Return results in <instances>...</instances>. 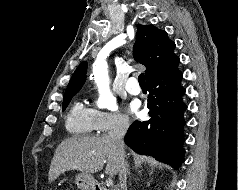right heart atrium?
<instances>
[{
	"label": "right heart atrium",
	"instance_id": "1",
	"mask_svg": "<svg viewBox=\"0 0 238 190\" xmlns=\"http://www.w3.org/2000/svg\"><path fill=\"white\" fill-rule=\"evenodd\" d=\"M95 130L105 134L115 130H125L130 126L129 117L122 111L93 110Z\"/></svg>",
	"mask_w": 238,
	"mask_h": 190
}]
</instances>
